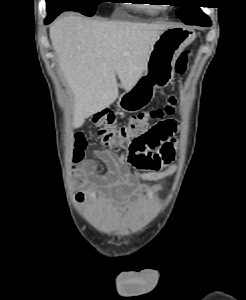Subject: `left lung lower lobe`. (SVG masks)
Here are the masks:
<instances>
[{
    "mask_svg": "<svg viewBox=\"0 0 246 300\" xmlns=\"http://www.w3.org/2000/svg\"><path fill=\"white\" fill-rule=\"evenodd\" d=\"M199 26H206V27H208V26H210L211 25V22L210 23H206V24H198Z\"/></svg>",
    "mask_w": 246,
    "mask_h": 300,
    "instance_id": "obj_1",
    "label": "left lung lower lobe"
}]
</instances>
